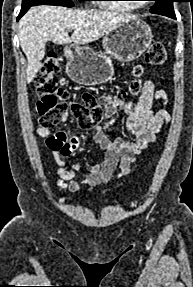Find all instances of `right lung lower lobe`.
<instances>
[{
  "mask_svg": "<svg viewBox=\"0 0 193 287\" xmlns=\"http://www.w3.org/2000/svg\"><path fill=\"white\" fill-rule=\"evenodd\" d=\"M29 8H30V7H22V8H21V11H20V13H19V15H18L17 20H19V19L27 12V10H28Z\"/></svg>",
  "mask_w": 193,
  "mask_h": 287,
  "instance_id": "1",
  "label": "right lung lower lobe"
}]
</instances>
